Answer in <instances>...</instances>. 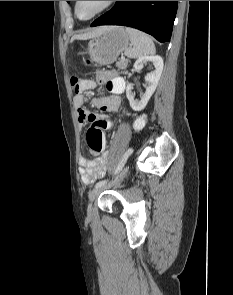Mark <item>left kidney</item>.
Masks as SVG:
<instances>
[{
    "label": "left kidney",
    "mask_w": 233,
    "mask_h": 295,
    "mask_svg": "<svg viewBox=\"0 0 233 295\" xmlns=\"http://www.w3.org/2000/svg\"><path fill=\"white\" fill-rule=\"evenodd\" d=\"M151 62L155 68V70L151 73H148L145 76V81L147 83V88L145 92L140 95V100L135 99L134 94L132 92L133 84H128L126 88V96L130 102V106L135 111H141L147 105L149 99L153 95L160 76L163 70V59L161 56L158 55H151V56H141L138 58L134 64L135 70H141L144 64Z\"/></svg>",
    "instance_id": "5707ae66"
}]
</instances>
